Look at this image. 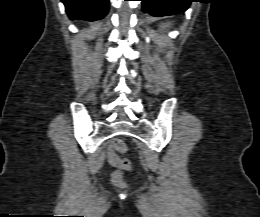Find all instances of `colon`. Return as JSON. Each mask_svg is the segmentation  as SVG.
Listing matches in <instances>:
<instances>
[{"instance_id":"5ec220e1","label":"colon","mask_w":260,"mask_h":217,"mask_svg":"<svg viewBox=\"0 0 260 217\" xmlns=\"http://www.w3.org/2000/svg\"><path fill=\"white\" fill-rule=\"evenodd\" d=\"M112 147L117 149L119 152H124L126 146L120 139H114L111 142ZM131 169V162L128 159L118 160L117 169L111 175V181L116 186H124L125 180L123 177L124 171H129Z\"/></svg>"}]
</instances>
